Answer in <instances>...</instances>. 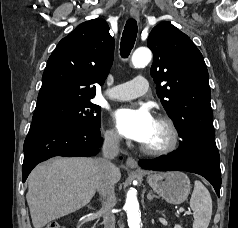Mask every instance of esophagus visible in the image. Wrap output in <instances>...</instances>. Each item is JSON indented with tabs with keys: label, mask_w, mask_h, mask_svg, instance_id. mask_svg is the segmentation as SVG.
<instances>
[{
	"label": "esophagus",
	"mask_w": 238,
	"mask_h": 228,
	"mask_svg": "<svg viewBox=\"0 0 238 228\" xmlns=\"http://www.w3.org/2000/svg\"><path fill=\"white\" fill-rule=\"evenodd\" d=\"M130 14L133 18H135L136 20H139V10L137 7H133L130 9ZM126 165L129 167V168H132V169H138V163L137 161L132 158V157H128L127 160H126Z\"/></svg>",
	"instance_id": "34e87169"
}]
</instances>
